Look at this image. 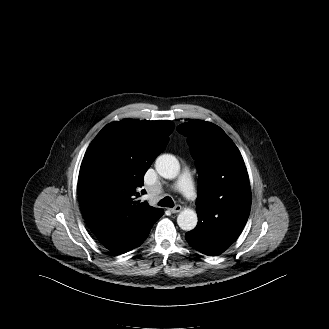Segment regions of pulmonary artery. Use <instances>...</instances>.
Returning <instances> with one entry per match:
<instances>
[{
  "label": "pulmonary artery",
  "mask_w": 329,
  "mask_h": 329,
  "mask_svg": "<svg viewBox=\"0 0 329 329\" xmlns=\"http://www.w3.org/2000/svg\"><path fill=\"white\" fill-rule=\"evenodd\" d=\"M174 189L182 193L186 198L195 197V187L189 172H183L173 186Z\"/></svg>",
  "instance_id": "obj_1"
}]
</instances>
